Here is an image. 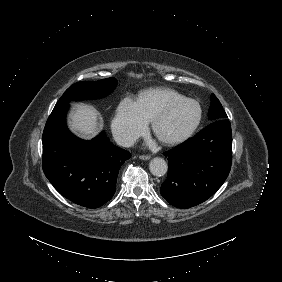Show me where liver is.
I'll use <instances>...</instances> for the list:
<instances>
[{"instance_id": "obj_1", "label": "liver", "mask_w": 282, "mask_h": 282, "mask_svg": "<svg viewBox=\"0 0 282 282\" xmlns=\"http://www.w3.org/2000/svg\"><path fill=\"white\" fill-rule=\"evenodd\" d=\"M67 127L84 141L94 139L100 134L98 110L85 102L73 104L67 114Z\"/></svg>"}]
</instances>
